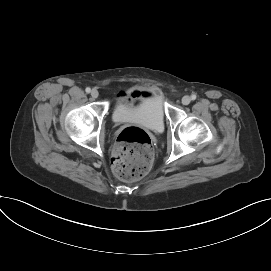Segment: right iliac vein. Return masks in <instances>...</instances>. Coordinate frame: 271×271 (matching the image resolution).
Here are the masks:
<instances>
[{"mask_svg":"<svg viewBox=\"0 0 271 271\" xmlns=\"http://www.w3.org/2000/svg\"><path fill=\"white\" fill-rule=\"evenodd\" d=\"M91 96H92V98L95 99V98H97L99 96V92L96 89H93L91 91Z\"/></svg>","mask_w":271,"mask_h":271,"instance_id":"63e3f726","label":"right iliac vein"}]
</instances>
